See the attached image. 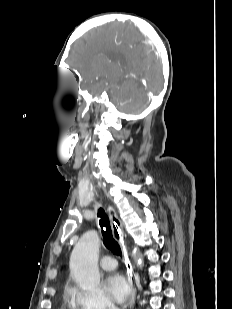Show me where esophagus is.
Here are the masks:
<instances>
[{"label": "esophagus", "mask_w": 232, "mask_h": 309, "mask_svg": "<svg viewBox=\"0 0 232 309\" xmlns=\"http://www.w3.org/2000/svg\"><path fill=\"white\" fill-rule=\"evenodd\" d=\"M108 214L111 219V226H112L114 238L119 242L121 246L124 262L126 265L127 279H128V282L131 288V295H130V299L128 301L127 306L131 309L135 304L136 287L133 281L134 271H133L132 265L128 257L127 245L124 239L123 224L112 207H108Z\"/></svg>", "instance_id": "1"}]
</instances>
